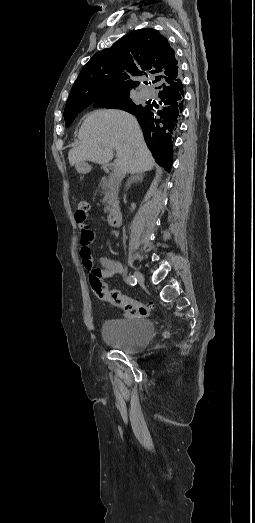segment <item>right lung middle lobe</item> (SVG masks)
Listing matches in <instances>:
<instances>
[{"mask_svg": "<svg viewBox=\"0 0 255 523\" xmlns=\"http://www.w3.org/2000/svg\"><path fill=\"white\" fill-rule=\"evenodd\" d=\"M129 100V94H123V95H112V96H106L103 98H100L98 100L85 102V103H71L66 104L64 109V119H65V125L66 127L70 126V124L75 119L76 115L85 109L86 107L90 106L92 103L93 107H102V108H120L124 109L123 106L125 103H127Z\"/></svg>", "mask_w": 255, "mask_h": 523, "instance_id": "dd1d6c3e", "label": "right lung middle lobe"}]
</instances>
